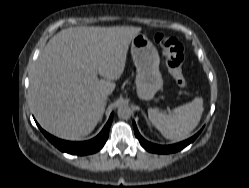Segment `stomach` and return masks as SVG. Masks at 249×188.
I'll return each instance as SVG.
<instances>
[{
	"instance_id": "1",
	"label": "stomach",
	"mask_w": 249,
	"mask_h": 188,
	"mask_svg": "<svg viewBox=\"0 0 249 188\" xmlns=\"http://www.w3.org/2000/svg\"><path fill=\"white\" fill-rule=\"evenodd\" d=\"M131 55L137 69L138 96L141 99H152L163 86L158 51L146 35L139 33L131 40Z\"/></svg>"
}]
</instances>
